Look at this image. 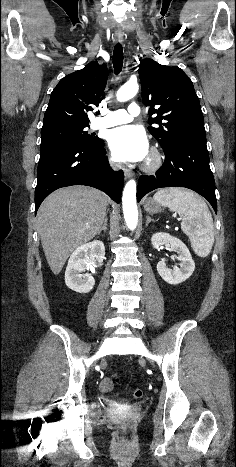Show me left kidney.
<instances>
[{
  "label": "left kidney",
  "instance_id": "5707ae66",
  "mask_svg": "<svg viewBox=\"0 0 236 467\" xmlns=\"http://www.w3.org/2000/svg\"><path fill=\"white\" fill-rule=\"evenodd\" d=\"M153 248L162 245H169L172 251L177 252L176 257L180 261V268L171 270L167 267L164 260L157 264V271L161 278L171 285H177L187 280L195 269V263L187 246L178 238L168 233H156L151 238Z\"/></svg>",
  "mask_w": 236,
  "mask_h": 467
}]
</instances>
